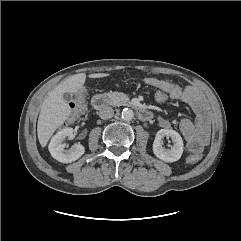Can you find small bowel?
<instances>
[{
	"mask_svg": "<svg viewBox=\"0 0 241 241\" xmlns=\"http://www.w3.org/2000/svg\"><path fill=\"white\" fill-rule=\"evenodd\" d=\"M143 81L149 86L165 90L171 99L191 107L195 114V121L184 118L181 120L179 128L189 151L194 154L201 153L209 142L210 119L207 105L199 91L191 86L181 87L172 81L156 77H145ZM158 124L162 128L170 126V122L165 118H159Z\"/></svg>",
	"mask_w": 241,
	"mask_h": 241,
	"instance_id": "obj_1",
	"label": "small bowel"
}]
</instances>
